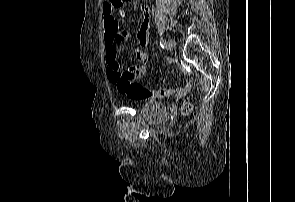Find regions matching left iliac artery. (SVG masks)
<instances>
[{"instance_id": "44dca946", "label": "left iliac artery", "mask_w": 295, "mask_h": 202, "mask_svg": "<svg viewBox=\"0 0 295 202\" xmlns=\"http://www.w3.org/2000/svg\"><path fill=\"white\" fill-rule=\"evenodd\" d=\"M165 45H166V41L164 39H161L160 40V46H161V48L164 49Z\"/></svg>"}]
</instances>
